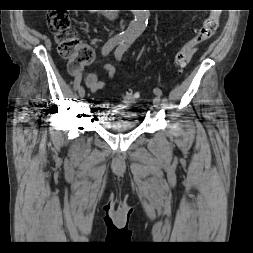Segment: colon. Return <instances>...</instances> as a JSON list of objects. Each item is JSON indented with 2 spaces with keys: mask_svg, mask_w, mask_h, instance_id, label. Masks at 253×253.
Here are the masks:
<instances>
[{
  "mask_svg": "<svg viewBox=\"0 0 253 253\" xmlns=\"http://www.w3.org/2000/svg\"><path fill=\"white\" fill-rule=\"evenodd\" d=\"M218 25L219 13L215 11L204 20L196 35L176 53L174 66L178 72L187 66L197 51L198 45L215 34ZM49 28L55 34L60 54L69 60L72 74H80L84 67L93 62L94 51L75 37L69 15L66 12L50 13ZM139 97L138 93L129 90L123 94L122 101L125 104H135L139 101Z\"/></svg>",
  "mask_w": 253,
  "mask_h": 253,
  "instance_id": "colon-1",
  "label": "colon"
}]
</instances>
